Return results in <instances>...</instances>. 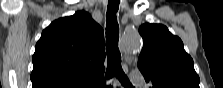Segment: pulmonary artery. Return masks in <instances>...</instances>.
Returning a JSON list of instances; mask_svg holds the SVG:
<instances>
[{"mask_svg": "<svg viewBox=\"0 0 223 88\" xmlns=\"http://www.w3.org/2000/svg\"><path fill=\"white\" fill-rule=\"evenodd\" d=\"M130 81L133 85H141L142 84V81H143V77L141 75L140 72L138 71H133L131 74H130Z\"/></svg>", "mask_w": 223, "mask_h": 88, "instance_id": "e3ab8cb5", "label": "pulmonary artery"}]
</instances>
